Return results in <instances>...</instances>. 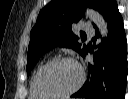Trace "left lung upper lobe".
<instances>
[{"instance_id":"left-lung-upper-lobe-1","label":"left lung upper lobe","mask_w":128,"mask_h":99,"mask_svg":"<svg viewBox=\"0 0 128 99\" xmlns=\"http://www.w3.org/2000/svg\"><path fill=\"white\" fill-rule=\"evenodd\" d=\"M106 0H52L39 13L37 22L31 30L28 47L27 74L39 58L48 50L69 47L84 56L88 47L78 43V37L71 31L72 24L78 22L85 7L102 12Z\"/></svg>"}]
</instances>
